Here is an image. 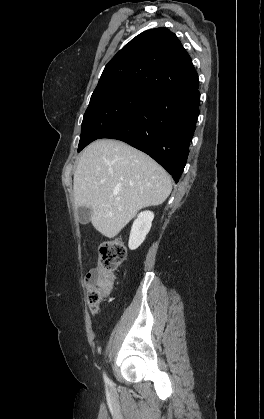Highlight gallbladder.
<instances>
[{
  "label": "gallbladder",
  "instance_id": "bac80fb5",
  "mask_svg": "<svg viewBox=\"0 0 264 419\" xmlns=\"http://www.w3.org/2000/svg\"><path fill=\"white\" fill-rule=\"evenodd\" d=\"M78 217L79 221L82 224H87L90 221L91 209L85 206L78 208Z\"/></svg>",
  "mask_w": 264,
  "mask_h": 419
}]
</instances>
